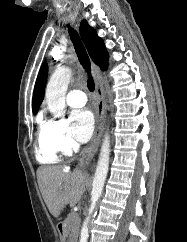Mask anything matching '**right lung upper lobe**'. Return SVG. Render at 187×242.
Segmentation results:
<instances>
[{
  "label": "right lung upper lobe",
  "mask_w": 187,
  "mask_h": 242,
  "mask_svg": "<svg viewBox=\"0 0 187 242\" xmlns=\"http://www.w3.org/2000/svg\"><path fill=\"white\" fill-rule=\"evenodd\" d=\"M80 34L93 62L97 64L101 70H106L108 66V52L106 51L103 40L97 35L95 29L89 26L86 20L81 21ZM47 75L48 66L45 62L41 66L34 87L32 102L34 114L37 112L40 104L43 101Z\"/></svg>",
  "instance_id": "cb5924a9"
}]
</instances>
